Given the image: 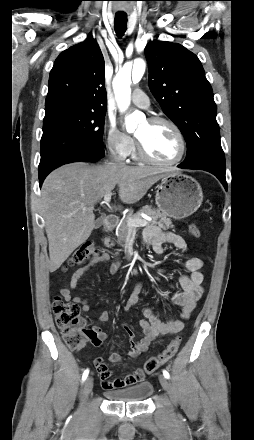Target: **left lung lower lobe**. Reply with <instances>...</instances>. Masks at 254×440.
Listing matches in <instances>:
<instances>
[{
	"mask_svg": "<svg viewBox=\"0 0 254 440\" xmlns=\"http://www.w3.org/2000/svg\"><path fill=\"white\" fill-rule=\"evenodd\" d=\"M179 168L182 169H199V170H205L213 175H215L223 184V186L227 189V183L225 178V165L220 164L217 161L214 160H201L199 162L190 164V165H184L181 163L178 165Z\"/></svg>",
	"mask_w": 254,
	"mask_h": 440,
	"instance_id": "obj_1",
	"label": "left lung lower lobe"
}]
</instances>
